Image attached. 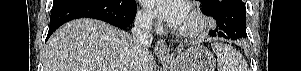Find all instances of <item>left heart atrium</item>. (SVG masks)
<instances>
[{
    "instance_id": "39dd6f15",
    "label": "left heart atrium",
    "mask_w": 301,
    "mask_h": 71,
    "mask_svg": "<svg viewBox=\"0 0 301 71\" xmlns=\"http://www.w3.org/2000/svg\"><path fill=\"white\" fill-rule=\"evenodd\" d=\"M144 7L153 15L167 22L171 27L180 29L187 14L182 0H143Z\"/></svg>"
}]
</instances>
